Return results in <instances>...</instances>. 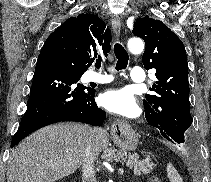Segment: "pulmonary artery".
I'll return each mask as SVG.
<instances>
[{
	"mask_svg": "<svg viewBox=\"0 0 211 182\" xmlns=\"http://www.w3.org/2000/svg\"><path fill=\"white\" fill-rule=\"evenodd\" d=\"M131 78L133 81L142 83L145 80V72L142 67L136 66L131 71ZM90 80L95 81L97 83H106L111 80V75L108 74H98L92 73L89 77Z\"/></svg>",
	"mask_w": 211,
	"mask_h": 182,
	"instance_id": "obj_1",
	"label": "pulmonary artery"
}]
</instances>
